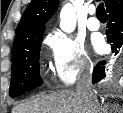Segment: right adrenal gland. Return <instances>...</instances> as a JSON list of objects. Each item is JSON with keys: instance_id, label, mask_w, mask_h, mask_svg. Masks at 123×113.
<instances>
[{"instance_id": "2a0ac1e0", "label": "right adrenal gland", "mask_w": 123, "mask_h": 113, "mask_svg": "<svg viewBox=\"0 0 123 113\" xmlns=\"http://www.w3.org/2000/svg\"><path fill=\"white\" fill-rule=\"evenodd\" d=\"M111 107L114 108L115 106H111ZM120 111L123 112V110H121V109H120ZM101 112L102 113H111L110 105H108V104L103 105Z\"/></svg>"}]
</instances>
